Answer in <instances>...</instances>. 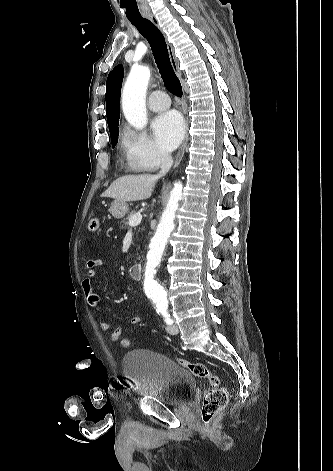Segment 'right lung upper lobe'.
Segmentation results:
<instances>
[{"label":"right lung upper lobe","instance_id":"cb5924a9","mask_svg":"<svg viewBox=\"0 0 333 471\" xmlns=\"http://www.w3.org/2000/svg\"><path fill=\"white\" fill-rule=\"evenodd\" d=\"M122 80L123 67L118 65L109 73L106 83L107 122L110 132L119 124Z\"/></svg>","mask_w":333,"mask_h":471}]
</instances>
